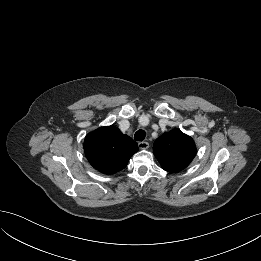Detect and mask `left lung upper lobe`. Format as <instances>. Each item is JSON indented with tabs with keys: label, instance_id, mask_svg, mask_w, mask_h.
<instances>
[{
	"label": "left lung upper lobe",
	"instance_id": "1",
	"mask_svg": "<svg viewBox=\"0 0 261 261\" xmlns=\"http://www.w3.org/2000/svg\"><path fill=\"white\" fill-rule=\"evenodd\" d=\"M153 152L162 168L171 173L185 169L197 153L194 140L178 129L157 138Z\"/></svg>",
	"mask_w": 261,
	"mask_h": 261
}]
</instances>
